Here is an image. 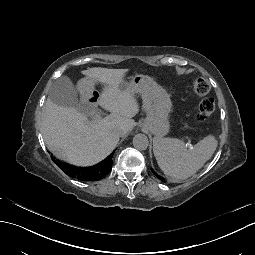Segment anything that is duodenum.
<instances>
[{
  "mask_svg": "<svg viewBox=\"0 0 255 255\" xmlns=\"http://www.w3.org/2000/svg\"><path fill=\"white\" fill-rule=\"evenodd\" d=\"M81 97L90 108H95L99 101V93L89 84L83 83L79 88Z\"/></svg>",
  "mask_w": 255,
  "mask_h": 255,
  "instance_id": "obj_1",
  "label": "duodenum"
}]
</instances>
